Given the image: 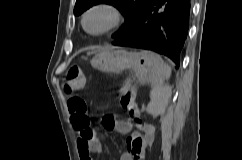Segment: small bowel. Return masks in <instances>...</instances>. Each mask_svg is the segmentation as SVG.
<instances>
[{
    "label": "small bowel",
    "mask_w": 242,
    "mask_h": 160,
    "mask_svg": "<svg viewBox=\"0 0 242 160\" xmlns=\"http://www.w3.org/2000/svg\"><path fill=\"white\" fill-rule=\"evenodd\" d=\"M73 128L79 133L77 141L78 152L81 160H93L92 154L102 151V144L89 128L77 127L74 117L68 108ZM102 125L107 131H114L120 134H128L127 146L128 151L124 153L120 160H143L145 157L148 139L152 136V127L138 121H129L118 119L113 115H107L102 118ZM134 128L136 130H134ZM92 131V136L85 138L83 132ZM138 130H142L146 135L141 134Z\"/></svg>",
    "instance_id": "1"
}]
</instances>
